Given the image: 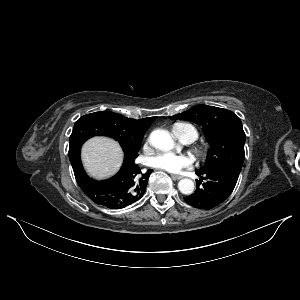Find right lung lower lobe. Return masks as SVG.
Listing matches in <instances>:
<instances>
[{"label":"right lung lower lobe","mask_w":300,"mask_h":300,"mask_svg":"<svg viewBox=\"0 0 300 300\" xmlns=\"http://www.w3.org/2000/svg\"><path fill=\"white\" fill-rule=\"evenodd\" d=\"M70 162L82 191L96 204L110 209L125 208L138 201L144 195L153 171L142 174L134 159L125 157L122 168L115 176L105 181H95L86 175L80 156Z\"/></svg>","instance_id":"right-lung-lower-lobe-1"}]
</instances>
